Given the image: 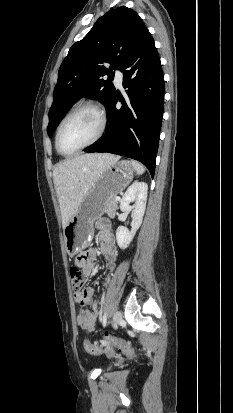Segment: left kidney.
<instances>
[{
    "label": "left kidney",
    "mask_w": 233,
    "mask_h": 413,
    "mask_svg": "<svg viewBox=\"0 0 233 413\" xmlns=\"http://www.w3.org/2000/svg\"><path fill=\"white\" fill-rule=\"evenodd\" d=\"M148 185L145 182L135 181L125 192L120 202L122 212L132 211L131 231L124 226H119L116 230L117 244L121 249H126L131 243L136 231L141 226L147 201ZM135 201V206L130 203Z\"/></svg>",
    "instance_id": "obj_1"
}]
</instances>
